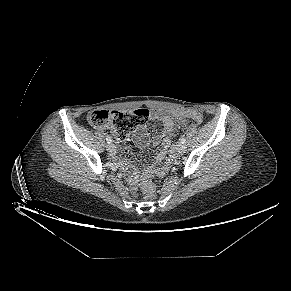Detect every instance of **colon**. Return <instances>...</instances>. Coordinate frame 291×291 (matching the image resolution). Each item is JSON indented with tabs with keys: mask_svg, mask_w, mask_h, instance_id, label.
I'll return each instance as SVG.
<instances>
[{
	"mask_svg": "<svg viewBox=\"0 0 291 291\" xmlns=\"http://www.w3.org/2000/svg\"><path fill=\"white\" fill-rule=\"evenodd\" d=\"M183 117L192 118L197 123L203 121V115L196 110H186L180 113ZM150 117L147 109H132L128 111L96 110L88 115L89 123L96 128H102L116 142H122L126 137ZM163 168L162 172H164ZM152 172H148L142 181V191L147 198L155 196V186L149 180Z\"/></svg>",
	"mask_w": 291,
	"mask_h": 291,
	"instance_id": "5ec220e1",
	"label": "colon"
}]
</instances>
